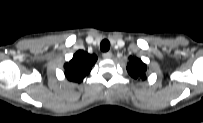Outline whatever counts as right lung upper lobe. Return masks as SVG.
Masks as SVG:
<instances>
[{"mask_svg": "<svg viewBox=\"0 0 203 123\" xmlns=\"http://www.w3.org/2000/svg\"><path fill=\"white\" fill-rule=\"evenodd\" d=\"M97 60L96 55H90L83 50L77 51L70 62L64 65L65 75L69 81L80 83L89 74Z\"/></svg>", "mask_w": 203, "mask_h": 123, "instance_id": "1", "label": "right lung upper lobe"}]
</instances>
